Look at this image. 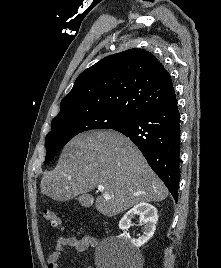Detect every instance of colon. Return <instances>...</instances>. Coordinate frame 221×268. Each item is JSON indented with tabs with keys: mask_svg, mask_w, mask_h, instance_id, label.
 <instances>
[{
	"mask_svg": "<svg viewBox=\"0 0 221 268\" xmlns=\"http://www.w3.org/2000/svg\"><path fill=\"white\" fill-rule=\"evenodd\" d=\"M43 216L53 227H59L62 224L60 218L52 210L45 209Z\"/></svg>",
	"mask_w": 221,
	"mask_h": 268,
	"instance_id": "obj_1",
	"label": "colon"
}]
</instances>
